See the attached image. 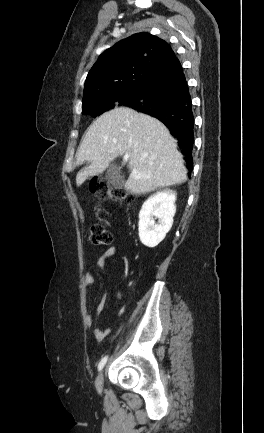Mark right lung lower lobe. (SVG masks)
Segmentation results:
<instances>
[{
    "label": "right lung lower lobe",
    "instance_id": "right-lung-lower-lobe-1",
    "mask_svg": "<svg viewBox=\"0 0 264 433\" xmlns=\"http://www.w3.org/2000/svg\"><path fill=\"white\" fill-rule=\"evenodd\" d=\"M123 106L149 114L166 125L178 140L192 170L194 116L183 68L174 54L141 84L139 92Z\"/></svg>",
    "mask_w": 264,
    "mask_h": 433
}]
</instances>
